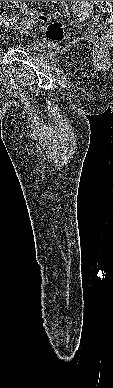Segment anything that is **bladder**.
I'll return each mask as SVG.
<instances>
[{"label": "bladder", "instance_id": "bladder-1", "mask_svg": "<svg viewBox=\"0 0 113 388\" xmlns=\"http://www.w3.org/2000/svg\"><path fill=\"white\" fill-rule=\"evenodd\" d=\"M32 24L30 21H25L20 25L21 30H30ZM29 50L32 54H39L43 51V45L41 43H33L29 46Z\"/></svg>", "mask_w": 113, "mask_h": 388}]
</instances>
